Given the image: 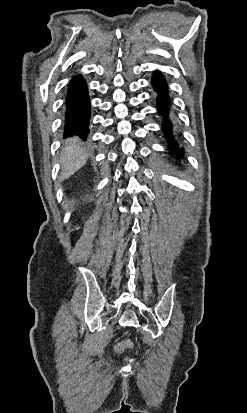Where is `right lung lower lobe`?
<instances>
[{
	"label": "right lung lower lobe",
	"mask_w": 247,
	"mask_h": 413,
	"mask_svg": "<svg viewBox=\"0 0 247 413\" xmlns=\"http://www.w3.org/2000/svg\"><path fill=\"white\" fill-rule=\"evenodd\" d=\"M89 120L90 100L87 84L81 76H75L69 83L66 95L64 138L78 135L86 140Z\"/></svg>",
	"instance_id": "obj_1"
}]
</instances>
